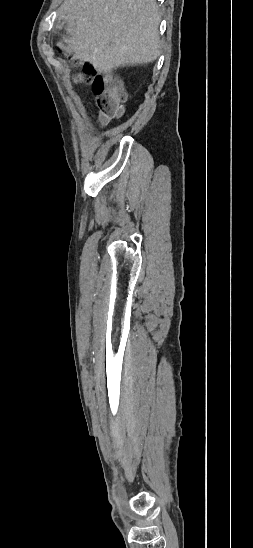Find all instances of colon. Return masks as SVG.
Listing matches in <instances>:
<instances>
[{
	"mask_svg": "<svg viewBox=\"0 0 253 548\" xmlns=\"http://www.w3.org/2000/svg\"><path fill=\"white\" fill-rule=\"evenodd\" d=\"M76 65L80 63L74 61ZM76 81L91 85L97 95V104L100 109L99 120L102 123L119 116L126 93L122 81L108 74H98L89 63L82 65V72L76 75Z\"/></svg>",
	"mask_w": 253,
	"mask_h": 548,
	"instance_id": "obj_1",
	"label": "colon"
}]
</instances>
